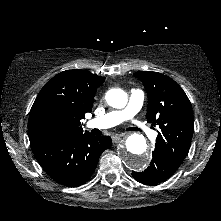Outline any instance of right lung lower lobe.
Listing matches in <instances>:
<instances>
[{
    "instance_id": "right-lung-lower-lobe-1",
    "label": "right lung lower lobe",
    "mask_w": 221,
    "mask_h": 221,
    "mask_svg": "<svg viewBox=\"0 0 221 221\" xmlns=\"http://www.w3.org/2000/svg\"><path fill=\"white\" fill-rule=\"evenodd\" d=\"M111 144L108 136L84 134L38 141L31 147L36 159L53 180L75 187L91 177L101 153Z\"/></svg>"
}]
</instances>
